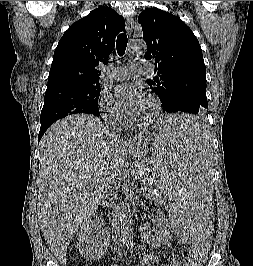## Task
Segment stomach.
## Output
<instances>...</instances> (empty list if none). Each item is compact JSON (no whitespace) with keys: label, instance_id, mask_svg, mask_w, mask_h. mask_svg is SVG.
Here are the masks:
<instances>
[{"label":"stomach","instance_id":"stomach-1","mask_svg":"<svg viewBox=\"0 0 253 266\" xmlns=\"http://www.w3.org/2000/svg\"><path fill=\"white\" fill-rule=\"evenodd\" d=\"M158 135H155L152 142L149 140L140 139L137 143L130 145V153L139 161L143 163H149L153 159V150H156L157 145H159Z\"/></svg>","mask_w":253,"mask_h":266}]
</instances>
